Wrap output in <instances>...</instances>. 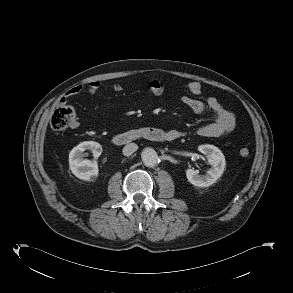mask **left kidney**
<instances>
[{
  "label": "left kidney",
  "instance_id": "1",
  "mask_svg": "<svg viewBox=\"0 0 293 293\" xmlns=\"http://www.w3.org/2000/svg\"><path fill=\"white\" fill-rule=\"evenodd\" d=\"M198 150L207 156L212 167L205 175H200L198 170L187 169L186 177L194 186L209 187L222 176L226 165L225 156L219 148L209 144L199 146Z\"/></svg>",
  "mask_w": 293,
  "mask_h": 293
}]
</instances>
